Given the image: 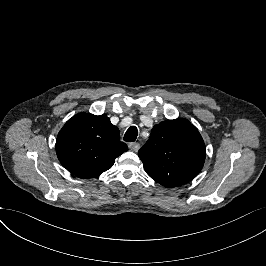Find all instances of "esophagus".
<instances>
[{"label":"esophagus","instance_id":"1","mask_svg":"<svg viewBox=\"0 0 266 266\" xmlns=\"http://www.w3.org/2000/svg\"><path fill=\"white\" fill-rule=\"evenodd\" d=\"M128 147L130 150L137 152L140 148V144L137 142L129 143Z\"/></svg>","mask_w":266,"mask_h":266}]
</instances>
